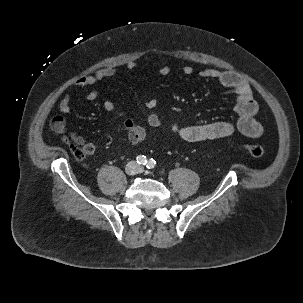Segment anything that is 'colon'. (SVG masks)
Wrapping results in <instances>:
<instances>
[{
    "instance_id": "colon-1",
    "label": "colon",
    "mask_w": 303,
    "mask_h": 303,
    "mask_svg": "<svg viewBox=\"0 0 303 303\" xmlns=\"http://www.w3.org/2000/svg\"><path fill=\"white\" fill-rule=\"evenodd\" d=\"M240 147L248 152L251 156L256 158L263 157L266 154L265 149L258 144H242ZM72 153L77 160H82L85 156V153L81 148L74 146H72Z\"/></svg>"
}]
</instances>
